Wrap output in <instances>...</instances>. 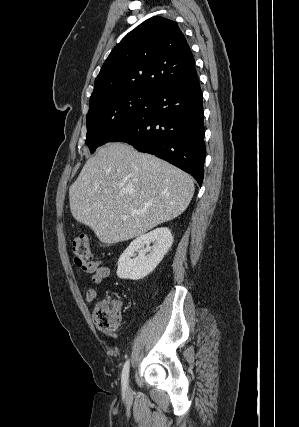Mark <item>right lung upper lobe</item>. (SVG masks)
<instances>
[{
	"label": "right lung upper lobe",
	"instance_id": "1",
	"mask_svg": "<svg viewBox=\"0 0 299 427\" xmlns=\"http://www.w3.org/2000/svg\"><path fill=\"white\" fill-rule=\"evenodd\" d=\"M195 77L194 57L177 23L152 17L111 51L95 80L90 104L122 92L155 94Z\"/></svg>",
	"mask_w": 299,
	"mask_h": 427
}]
</instances>
